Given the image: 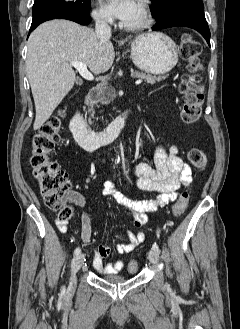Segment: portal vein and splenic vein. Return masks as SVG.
<instances>
[{
	"instance_id": "18ae733b",
	"label": "portal vein and splenic vein",
	"mask_w": 240,
	"mask_h": 329,
	"mask_svg": "<svg viewBox=\"0 0 240 329\" xmlns=\"http://www.w3.org/2000/svg\"><path fill=\"white\" fill-rule=\"evenodd\" d=\"M70 64L75 67L79 74L86 80L92 81L94 76L87 70V65L82 62L71 61ZM142 82L141 79L135 82L136 85H139Z\"/></svg>"
}]
</instances>
